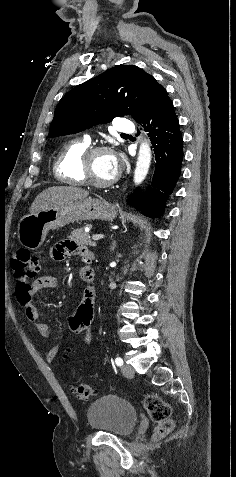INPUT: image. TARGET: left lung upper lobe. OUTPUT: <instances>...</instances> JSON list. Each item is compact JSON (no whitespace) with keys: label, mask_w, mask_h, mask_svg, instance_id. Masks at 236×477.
I'll list each match as a JSON object with an SVG mask.
<instances>
[{"label":"left lung upper lobe","mask_w":236,"mask_h":477,"mask_svg":"<svg viewBox=\"0 0 236 477\" xmlns=\"http://www.w3.org/2000/svg\"><path fill=\"white\" fill-rule=\"evenodd\" d=\"M162 86L134 65H118L70 90L58 103L49 137L73 134L113 118L142 122Z\"/></svg>","instance_id":"5c2ea615"}]
</instances>
